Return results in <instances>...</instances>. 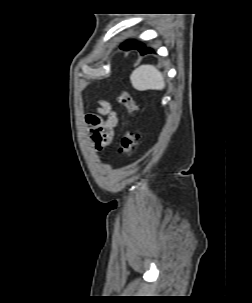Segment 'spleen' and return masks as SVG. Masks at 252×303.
<instances>
[{
  "mask_svg": "<svg viewBox=\"0 0 252 303\" xmlns=\"http://www.w3.org/2000/svg\"><path fill=\"white\" fill-rule=\"evenodd\" d=\"M132 86L138 91L162 90L165 88L162 73L153 65H141L130 75Z\"/></svg>",
  "mask_w": 252,
  "mask_h": 303,
  "instance_id": "1",
  "label": "spleen"
}]
</instances>
